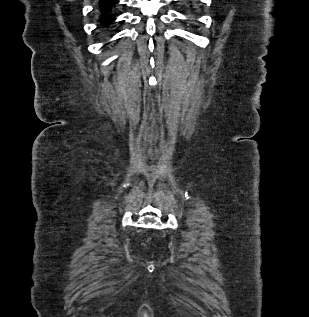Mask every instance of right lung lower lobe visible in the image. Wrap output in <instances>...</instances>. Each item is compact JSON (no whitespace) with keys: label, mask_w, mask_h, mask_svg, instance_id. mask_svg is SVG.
Returning a JSON list of instances; mask_svg holds the SVG:
<instances>
[{"label":"right lung lower lobe","mask_w":309,"mask_h":317,"mask_svg":"<svg viewBox=\"0 0 309 317\" xmlns=\"http://www.w3.org/2000/svg\"><path fill=\"white\" fill-rule=\"evenodd\" d=\"M118 4V0H100L99 1V14L101 28H109L115 20L116 16L112 13L113 8Z\"/></svg>","instance_id":"98d812e1"}]
</instances>
